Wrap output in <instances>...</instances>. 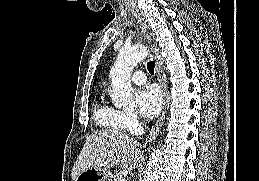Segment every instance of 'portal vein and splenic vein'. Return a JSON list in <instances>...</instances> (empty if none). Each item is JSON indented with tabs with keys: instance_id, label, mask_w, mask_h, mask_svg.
<instances>
[{
	"instance_id": "obj_1",
	"label": "portal vein and splenic vein",
	"mask_w": 259,
	"mask_h": 181,
	"mask_svg": "<svg viewBox=\"0 0 259 181\" xmlns=\"http://www.w3.org/2000/svg\"><path fill=\"white\" fill-rule=\"evenodd\" d=\"M121 181H127L125 178H122Z\"/></svg>"
}]
</instances>
